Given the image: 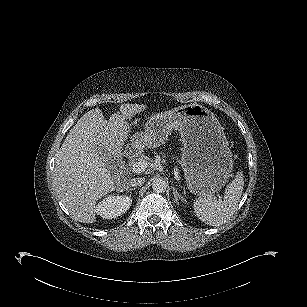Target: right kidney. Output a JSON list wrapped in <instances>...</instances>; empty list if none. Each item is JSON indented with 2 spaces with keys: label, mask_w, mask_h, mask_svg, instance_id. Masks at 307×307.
I'll use <instances>...</instances> for the list:
<instances>
[{
  "label": "right kidney",
  "mask_w": 307,
  "mask_h": 307,
  "mask_svg": "<svg viewBox=\"0 0 307 307\" xmlns=\"http://www.w3.org/2000/svg\"><path fill=\"white\" fill-rule=\"evenodd\" d=\"M132 198L126 195H109L100 201L95 212L105 219H113L124 214L131 206Z\"/></svg>",
  "instance_id": "obj_1"
}]
</instances>
